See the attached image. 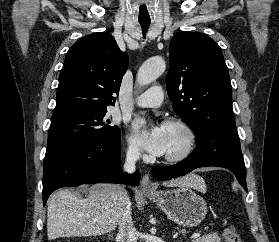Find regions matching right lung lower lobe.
Instances as JSON below:
<instances>
[{
	"mask_svg": "<svg viewBox=\"0 0 279 242\" xmlns=\"http://www.w3.org/2000/svg\"><path fill=\"white\" fill-rule=\"evenodd\" d=\"M120 137L100 144H86L63 149L45 156L43 173V205L50 194L61 188L92 183L139 184L140 175L119 169Z\"/></svg>",
	"mask_w": 279,
	"mask_h": 242,
	"instance_id": "1",
	"label": "right lung lower lobe"
}]
</instances>
